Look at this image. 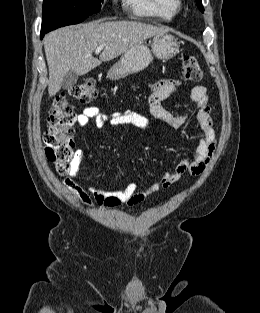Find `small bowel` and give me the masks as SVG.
I'll use <instances>...</instances> for the list:
<instances>
[{"instance_id": "small-bowel-1", "label": "small bowel", "mask_w": 260, "mask_h": 313, "mask_svg": "<svg viewBox=\"0 0 260 313\" xmlns=\"http://www.w3.org/2000/svg\"><path fill=\"white\" fill-rule=\"evenodd\" d=\"M179 86L180 82L178 80L161 79L151 86V94L148 98L150 114L156 120L172 129L182 127L186 122L187 115L172 114L163 107L162 102L176 94ZM191 99L196 104L198 110L197 118L202 129V136L197 142L192 159L182 160L173 171L165 172L158 181L143 190H138L135 183H130L124 189L109 190L95 186L86 188L75 179L77 162L82 157V153L78 152L72 171L68 176L64 177L63 184L79 201L90 208L95 205L102 207H117L123 204L134 206L177 183L185 174L201 175L208 168L213 158L217 143L216 133L206 87L201 85L194 86L191 90ZM92 119L98 128H102L106 124L112 126L130 125L141 130H148L150 127L149 119L135 111L124 110L103 113L97 107L84 108L77 116V124L79 127L85 128Z\"/></svg>"}]
</instances>
